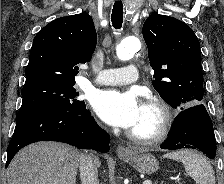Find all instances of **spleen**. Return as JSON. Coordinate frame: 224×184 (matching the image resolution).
I'll use <instances>...</instances> for the list:
<instances>
[{"label": "spleen", "instance_id": "spleen-1", "mask_svg": "<svg viewBox=\"0 0 224 184\" xmlns=\"http://www.w3.org/2000/svg\"><path fill=\"white\" fill-rule=\"evenodd\" d=\"M163 158L182 162L186 173L197 184H215V175L211 164L199 153L190 150H181L167 153Z\"/></svg>", "mask_w": 224, "mask_h": 184}]
</instances>
